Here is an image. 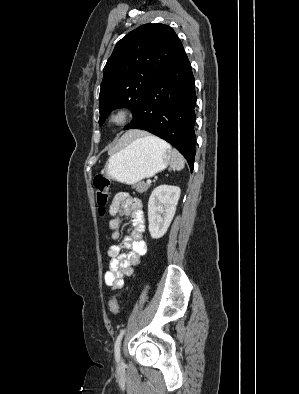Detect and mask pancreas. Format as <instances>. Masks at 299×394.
Segmentation results:
<instances>
[{
  "label": "pancreas",
  "instance_id": "1",
  "mask_svg": "<svg viewBox=\"0 0 299 394\" xmlns=\"http://www.w3.org/2000/svg\"><path fill=\"white\" fill-rule=\"evenodd\" d=\"M149 187H150V184H147V183H144V182L138 183V184H136V185L134 186V188L136 189V191L139 192V193H144V192H146V191L148 190Z\"/></svg>",
  "mask_w": 299,
  "mask_h": 394
}]
</instances>
